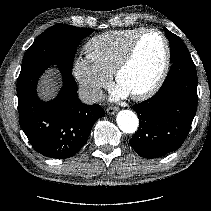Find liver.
<instances>
[{
  "label": "liver",
  "mask_w": 211,
  "mask_h": 211,
  "mask_svg": "<svg viewBox=\"0 0 211 211\" xmlns=\"http://www.w3.org/2000/svg\"><path fill=\"white\" fill-rule=\"evenodd\" d=\"M57 88L56 78L53 73H48L41 82V93L44 97H50Z\"/></svg>",
  "instance_id": "obj_1"
}]
</instances>
